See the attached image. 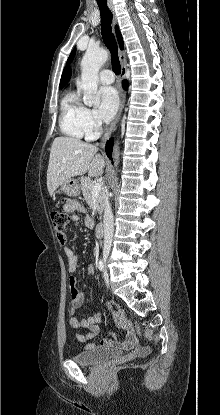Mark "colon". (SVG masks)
Instances as JSON below:
<instances>
[{
	"mask_svg": "<svg viewBox=\"0 0 220 415\" xmlns=\"http://www.w3.org/2000/svg\"><path fill=\"white\" fill-rule=\"evenodd\" d=\"M70 216L67 212L65 211H53L51 213V220H52V224L55 228V230L57 231V234H62L64 228L67 226L68 222H69ZM106 306L107 308L116 316H122L124 315V310L118 306L117 304H115L112 301H107L106 302ZM137 328L138 325H136Z\"/></svg>",
	"mask_w": 220,
	"mask_h": 415,
	"instance_id": "1",
	"label": "colon"
}]
</instances>
